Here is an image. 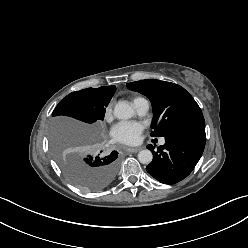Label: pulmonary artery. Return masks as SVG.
<instances>
[{
  "label": "pulmonary artery",
  "instance_id": "pulmonary-artery-1",
  "mask_svg": "<svg viewBox=\"0 0 248 248\" xmlns=\"http://www.w3.org/2000/svg\"><path fill=\"white\" fill-rule=\"evenodd\" d=\"M134 107L136 111L138 112V114L145 115L148 112L150 105H149L148 100L141 98L134 102ZM164 142H165L164 139L160 140L161 145L164 144Z\"/></svg>",
  "mask_w": 248,
  "mask_h": 248
}]
</instances>
